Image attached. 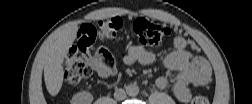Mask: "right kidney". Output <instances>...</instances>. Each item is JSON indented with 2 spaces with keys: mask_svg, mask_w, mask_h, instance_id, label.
I'll return each mask as SVG.
<instances>
[{
  "mask_svg": "<svg viewBox=\"0 0 252 104\" xmlns=\"http://www.w3.org/2000/svg\"><path fill=\"white\" fill-rule=\"evenodd\" d=\"M72 101L74 104H90L93 101V96L87 91H82L75 94Z\"/></svg>",
  "mask_w": 252,
  "mask_h": 104,
  "instance_id": "1",
  "label": "right kidney"
}]
</instances>
